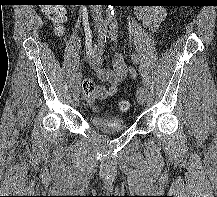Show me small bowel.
I'll return each mask as SVG.
<instances>
[{"mask_svg": "<svg viewBox=\"0 0 217 197\" xmlns=\"http://www.w3.org/2000/svg\"><path fill=\"white\" fill-rule=\"evenodd\" d=\"M138 16L144 25L150 30H155L164 18V12L159 8L139 9ZM104 44L101 41L94 43L90 55V62L98 77L109 84L106 89L107 97L113 96L118 91V86L127 78L134 79L136 77L135 70L127 63L125 57L121 53H115L112 58V69H106L103 66Z\"/></svg>", "mask_w": 217, "mask_h": 197, "instance_id": "obj_1", "label": "small bowel"}]
</instances>
